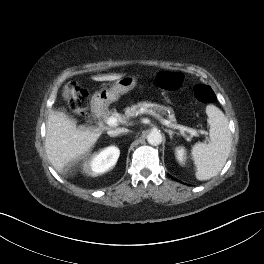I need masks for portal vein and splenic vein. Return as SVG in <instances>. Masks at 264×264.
I'll return each instance as SVG.
<instances>
[{
    "label": "portal vein and splenic vein",
    "instance_id": "1",
    "mask_svg": "<svg viewBox=\"0 0 264 264\" xmlns=\"http://www.w3.org/2000/svg\"><path fill=\"white\" fill-rule=\"evenodd\" d=\"M157 118L161 121L163 125H166L167 127L173 129H178L181 134H184V132L191 134V136H198L199 134H205V132L202 130L197 131L193 128H189L183 125L173 124L169 120L161 118L159 115H157ZM117 123H118V119L116 117L110 116L106 119V124H108L109 126H116Z\"/></svg>",
    "mask_w": 264,
    "mask_h": 264
}]
</instances>
